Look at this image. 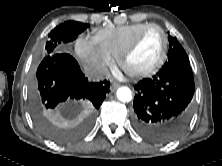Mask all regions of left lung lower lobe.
Returning <instances> with one entry per match:
<instances>
[{
  "mask_svg": "<svg viewBox=\"0 0 222 166\" xmlns=\"http://www.w3.org/2000/svg\"><path fill=\"white\" fill-rule=\"evenodd\" d=\"M136 130L155 143H168L185 130L190 120L194 78L190 64L163 66L152 79L134 86Z\"/></svg>",
  "mask_w": 222,
  "mask_h": 166,
  "instance_id": "0a47b994",
  "label": "left lung lower lobe"
}]
</instances>
